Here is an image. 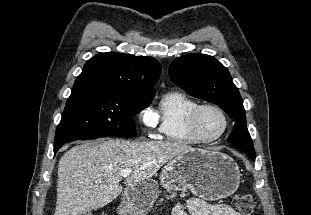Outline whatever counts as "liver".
Wrapping results in <instances>:
<instances>
[{
    "mask_svg": "<svg viewBox=\"0 0 311 215\" xmlns=\"http://www.w3.org/2000/svg\"><path fill=\"white\" fill-rule=\"evenodd\" d=\"M178 142L107 139L72 147L58 164L54 215H80L104 207L123 190L121 172L131 170L126 189L151 180L166 163L192 150Z\"/></svg>",
    "mask_w": 311,
    "mask_h": 215,
    "instance_id": "6515ba94",
    "label": "liver"
}]
</instances>
